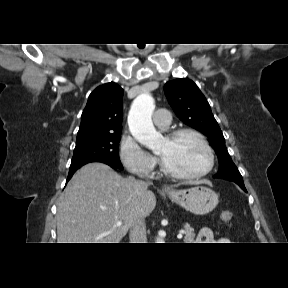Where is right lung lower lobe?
Here are the masks:
<instances>
[{
	"label": "right lung lower lobe",
	"mask_w": 288,
	"mask_h": 288,
	"mask_svg": "<svg viewBox=\"0 0 288 288\" xmlns=\"http://www.w3.org/2000/svg\"><path fill=\"white\" fill-rule=\"evenodd\" d=\"M90 162H102V163H105V164H108L109 166H111L112 168H117L103 160H89V161H85V162H82V163H78V164H74V165H71L70 168H69V174H68V178H67V182L70 180V178L72 177V175L76 172V170H78L81 166L87 164V163H90ZM119 169V168H118Z\"/></svg>",
	"instance_id": "98d812e1"
}]
</instances>
